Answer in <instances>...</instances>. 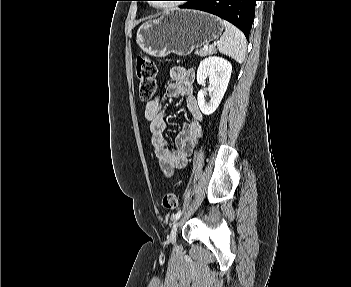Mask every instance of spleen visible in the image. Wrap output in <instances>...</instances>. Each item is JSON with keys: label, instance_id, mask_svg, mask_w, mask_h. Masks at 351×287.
I'll use <instances>...</instances> for the list:
<instances>
[{"label": "spleen", "instance_id": "3e777b00", "mask_svg": "<svg viewBox=\"0 0 351 287\" xmlns=\"http://www.w3.org/2000/svg\"><path fill=\"white\" fill-rule=\"evenodd\" d=\"M225 32L218 42V50L220 53L231 57L238 63L245 60L247 49L246 38L244 34L234 25L227 21H222Z\"/></svg>", "mask_w": 351, "mask_h": 287}]
</instances>
